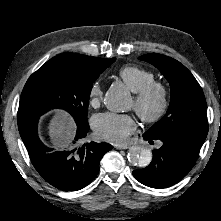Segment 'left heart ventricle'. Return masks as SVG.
<instances>
[{
	"instance_id": "obj_1",
	"label": "left heart ventricle",
	"mask_w": 221,
	"mask_h": 221,
	"mask_svg": "<svg viewBox=\"0 0 221 221\" xmlns=\"http://www.w3.org/2000/svg\"><path fill=\"white\" fill-rule=\"evenodd\" d=\"M133 106H134V100H132L130 107L133 108ZM156 106H157V100L152 99L150 103L148 104V111L150 112L153 111L156 108Z\"/></svg>"
}]
</instances>
